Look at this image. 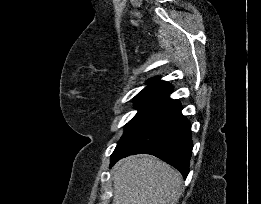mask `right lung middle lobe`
<instances>
[{
	"label": "right lung middle lobe",
	"mask_w": 261,
	"mask_h": 204,
	"mask_svg": "<svg viewBox=\"0 0 261 204\" xmlns=\"http://www.w3.org/2000/svg\"><path fill=\"white\" fill-rule=\"evenodd\" d=\"M167 95L159 94H138L134 98V103L138 113L131 119L125 127V132L120 141L133 131L141 122H143L156 108H158L166 99Z\"/></svg>",
	"instance_id": "right-lung-middle-lobe-1"
}]
</instances>
